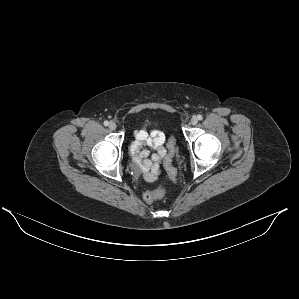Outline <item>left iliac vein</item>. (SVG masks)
Returning a JSON list of instances; mask_svg holds the SVG:
<instances>
[{
  "label": "left iliac vein",
  "instance_id": "left-iliac-vein-1",
  "mask_svg": "<svg viewBox=\"0 0 299 299\" xmlns=\"http://www.w3.org/2000/svg\"><path fill=\"white\" fill-rule=\"evenodd\" d=\"M191 124L192 125H196L197 123H198V118L196 117V116H193L192 118H191Z\"/></svg>",
  "mask_w": 299,
  "mask_h": 299
}]
</instances>
